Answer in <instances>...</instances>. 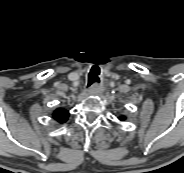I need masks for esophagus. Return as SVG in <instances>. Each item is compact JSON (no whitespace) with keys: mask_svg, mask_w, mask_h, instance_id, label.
<instances>
[{"mask_svg":"<svg viewBox=\"0 0 184 173\" xmlns=\"http://www.w3.org/2000/svg\"><path fill=\"white\" fill-rule=\"evenodd\" d=\"M102 91L101 87L97 86V85H93L88 89V93L90 95H98L100 94Z\"/></svg>","mask_w":184,"mask_h":173,"instance_id":"34e87169","label":"esophagus"}]
</instances>
